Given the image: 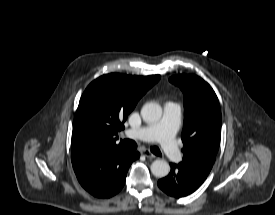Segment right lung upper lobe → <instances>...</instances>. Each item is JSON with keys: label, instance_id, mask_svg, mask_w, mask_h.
<instances>
[{"label": "right lung upper lobe", "instance_id": "right-lung-upper-lobe-1", "mask_svg": "<svg viewBox=\"0 0 275 215\" xmlns=\"http://www.w3.org/2000/svg\"><path fill=\"white\" fill-rule=\"evenodd\" d=\"M160 75L146 77L111 73L94 80L84 91L74 117L73 167L99 151L124 148L116 144L127 115Z\"/></svg>", "mask_w": 275, "mask_h": 215}]
</instances>
